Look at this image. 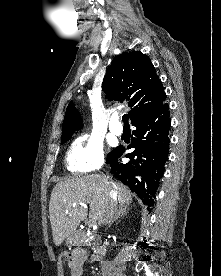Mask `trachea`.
Segmentation results:
<instances>
[{
    "mask_svg": "<svg viewBox=\"0 0 221 276\" xmlns=\"http://www.w3.org/2000/svg\"><path fill=\"white\" fill-rule=\"evenodd\" d=\"M128 119H129V117H128L127 114H124V115L122 116V121L124 122L125 125H128Z\"/></svg>",
    "mask_w": 221,
    "mask_h": 276,
    "instance_id": "3493384b",
    "label": "trachea"
}]
</instances>
